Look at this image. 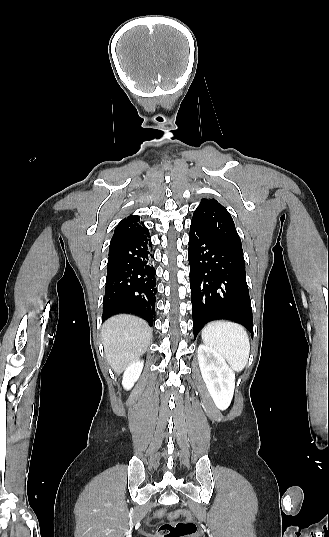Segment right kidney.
Segmentation results:
<instances>
[{
	"label": "right kidney",
	"instance_id": "obj_1",
	"mask_svg": "<svg viewBox=\"0 0 329 537\" xmlns=\"http://www.w3.org/2000/svg\"><path fill=\"white\" fill-rule=\"evenodd\" d=\"M143 369V361L137 360L131 363L124 371L122 385L125 389H131L138 380Z\"/></svg>",
	"mask_w": 329,
	"mask_h": 537
}]
</instances>
